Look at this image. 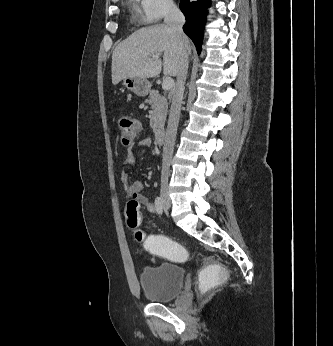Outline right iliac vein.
Listing matches in <instances>:
<instances>
[{"mask_svg":"<svg viewBox=\"0 0 333 346\" xmlns=\"http://www.w3.org/2000/svg\"><path fill=\"white\" fill-rule=\"evenodd\" d=\"M160 196L163 202V207L168 210L171 206V200L169 197V189L166 181H163L160 188Z\"/></svg>","mask_w":333,"mask_h":346,"instance_id":"1","label":"right iliac vein"}]
</instances>
